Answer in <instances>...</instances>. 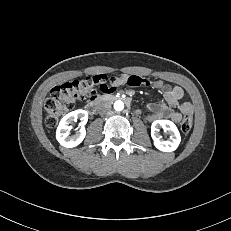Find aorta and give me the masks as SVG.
I'll list each match as a JSON object with an SVG mask.
<instances>
[{
	"instance_id": "aorta-1",
	"label": "aorta",
	"mask_w": 231,
	"mask_h": 231,
	"mask_svg": "<svg viewBox=\"0 0 231 231\" xmlns=\"http://www.w3.org/2000/svg\"><path fill=\"white\" fill-rule=\"evenodd\" d=\"M114 109L116 111H122L124 109V103H123V101H121V100L115 101V103H114Z\"/></svg>"
}]
</instances>
